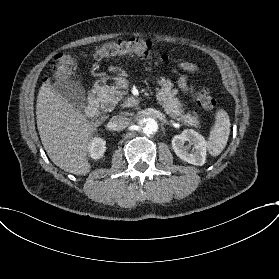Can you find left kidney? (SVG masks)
Masks as SVG:
<instances>
[{"label": "left kidney", "mask_w": 279, "mask_h": 279, "mask_svg": "<svg viewBox=\"0 0 279 279\" xmlns=\"http://www.w3.org/2000/svg\"><path fill=\"white\" fill-rule=\"evenodd\" d=\"M186 142L188 144H185ZM172 147L175 154L185 162L194 166L204 165L207 144L205 139L194 130L175 135L172 138Z\"/></svg>", "instance_id": "left-kidney-1"}]
</instances>
